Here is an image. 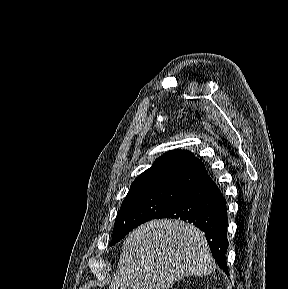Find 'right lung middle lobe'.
I'll return each instance as SVG.
<instances>
[{
	"label": "right lung middle lobe",
	"instance_id": "1",
	"mask_svg": "<svg viewBox=\"0 0 288 289\" xmlns=\"http://www.w3.org/2000/svg\"><path fill=\"white\" fill-rule=\"evenodd\" d=\"M186 190L157 187L128 192L117 215L110 246L138 225L157 218L181 200Z\"/></svg>",
	"mask_w": 288,
	"mask_h": 289
}]
</instances>
